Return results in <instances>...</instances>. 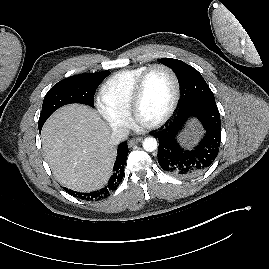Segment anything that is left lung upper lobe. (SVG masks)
I'll use <instances>...</instances> for the list:
<instances>
[{
	"instance_id": "5c2ea615",
	"label": "left lung upper lobe",
	"mask_w": 269,
	"mask_h": 269,
	"mask_svg": "<svg viewBox=\"0 0 269 269\" xmlns=\"http://www.w3.org/2000/svg\"><path fill=\"white\" fill-rule=\"evenodd\" d=\"M158 62L170 67L178 78L182 97L180 108L192 102H215L213 92L195 68L181 60L171 58L158 59Z\"/></svg>"
}]
</instances>
